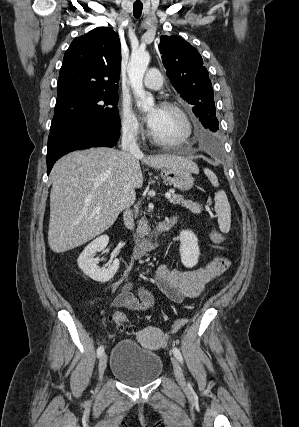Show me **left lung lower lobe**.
<instances>
[{
  "mask_svg": "<svg viewBox=\"0 0 299 427\" xmlns=\"http://www.w3.org/2000/svg\"><path fill=\"white\" fill-rule=\"evenodd\" d=\"M202 125H203V126H204V127L206 128V125H205V123H203Z\"/></svg>",
  "mask_w": 299,
  "mask_h": 427,
  "instance_id": "left-lung-lower-lobe-1",
  "label": "left lung lower lobe"
}]
</instances>
